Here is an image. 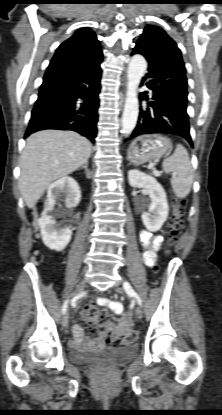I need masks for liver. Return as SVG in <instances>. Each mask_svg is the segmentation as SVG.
Returning a JSON list of instances; mask_svg holds the SVG:
<instances>
[{"label": "liver", "mask_w": 222, "mask_h": 415, "mask_svg": "<svg viewBox=\"0 0 222 415\" xmlns=\"http://www.w3.org/2000/svg\"><path fill=\"white\" fill-rule=\"evenodd\" d=\"M90 141L73 131L44 130L27 138L20 159L19 190L33 208L47 187L87 163Z\"/></svg>", "instance_id": "obj_1"}]
</instances>
